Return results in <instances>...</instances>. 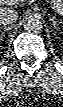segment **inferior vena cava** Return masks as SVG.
Wrapping results in <instances>:
<instances>
[{"mask_svg": "<svg viewBox=\"0 0 63 107\" xmlns=\"http://www.w3.org/2000/svg\"><path fill=\"white\" fill-rule=\"evenodd\" d=\"M18 18V13L15 10L2 9L0 12V24L12 25Z\"/></svg>", "mask_w": 63, "mask_h": 107, "instance_id": "602c4592", "label": "inferior vena cava"}]
</instances>
